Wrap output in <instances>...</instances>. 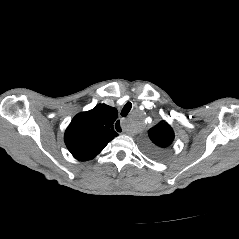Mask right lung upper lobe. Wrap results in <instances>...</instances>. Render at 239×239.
I'll use <instances>...</instances> for the list:
<instances>
[{"label": "right lung upper lobe", "instance_id": "obj_1", "mask_svg": "<svg viewBox=\"0 0 239 239\" xmlns=\"http://www.w3.org/2000/svg\"><path fill=\"white\" fill-rule=\"evenodd\" d=\"M117 116V110L106 104H98L90 111L77 114L64 136L72 155L81 161L98 155L108 142L118 136L113 128Z\"/></svg>", "mask_w": 239, "mask_h": 239}]
</instances>
